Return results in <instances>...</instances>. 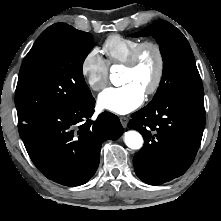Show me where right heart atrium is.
<instances>
[{
  "label": "right heart atrium",
  "mask_w": 221,
  "mask_h": 221,
  "mask_svg": "<svg viewBox=\"0 0 221 221\" xmlns=\"http://www.w3.org/2000/svg\"><path fill=\"white\" fill-rule=\"evenodd\" d=\"M80 71L88 87L102 90L108 83L109 64L97 48L90 49L81 61Z\"/></svg>",
  "instance_id": "obj_1"
}]
</instances>
